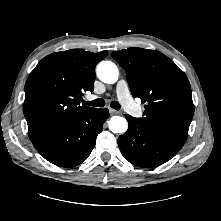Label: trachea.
Segmentation results:
<instances>
[{
  "instance_id": "trachea-1",
  "label": "trachea",
  "mask_w": 221,
  "mask_h": 221,
  "mask_svg": "<svg viewBox=\"0 0 221 221\" xmlns=\"http://www.w3.org/2000/svg\"><path fill=\"white\" fill-rule=\"evenodd\" d=\"M84 103L93 107H103L105 105V101L101 98L89 102L84 101ZM110 106L115 110H119L121 108L120 104L117 101H112Z\"/></svg>"
}]
</instances>
